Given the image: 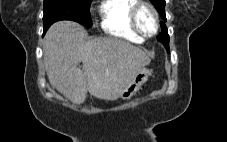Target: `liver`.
Instances as JSON below:
<instances>
[{"label":"liver","instance_id":"6515ba94","mask_svg":"<svg viewBox=\"0 0 227 142\" xmlns=\"http://www.w3.org/2000/svg\"><path fill=\"white\" fill-rule=\"evenodd\" d=\"M86 36L85 29L73 21H59L48 29L43 43L48 80L75 104L83 103L88 92L114 101L151 60L143 50L121 39L86 40Z\"/></svg>","mask_w":227,"mask_h":142}]
</instances>
